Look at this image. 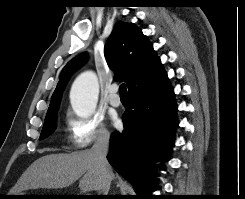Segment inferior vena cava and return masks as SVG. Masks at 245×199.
Instances as JSON below:
<instances>
[{"label":"inferior vena cava","mask_w":245,"mask_h":199,"mask_svg":"<svg viewBox=\"0 0 245 199\" xmlns=\"http://www.w3.org/2000/svg\"><path fill=\"white\" fill-rule=\"evenodd\" d=\"M110 134L109 132H99L97 139L92 147V151L96 156L97 165L101 173L102 188L101 195H108L110 184L112 181V170L107 161V154L109 150ZM100 195V194H99Z\"/></svg>","instance_id":"1"}]
</instances>
